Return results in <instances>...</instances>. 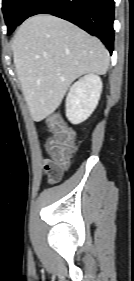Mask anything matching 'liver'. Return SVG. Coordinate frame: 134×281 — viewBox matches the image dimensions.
Segmentation results:
<instances>
[{
	"mask_svg": "<svg viewBox=\"0 0 134 281\" xmlns=\"http://www.w3.org/2000/svg\"><path fill=\"white\" fill-rule=\"evenodd\" d=\"M12 51L22 93L36 122L59 107L76 78L87 73L103 75L109 66V53L98 38L48 14L21 24Z\"/></svg>",
	"mask_w": 134,
	"mask_h": 281,
	"instance_id": "6515ba94",
	"label": "liver"
}]
</instances>
